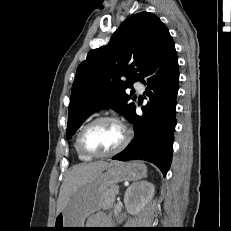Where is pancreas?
Segmentation results:
<instances>
[{"label":"pancreas","instance_id":"obj_1","mask_svg":"<svg viewBox=\"0 0 231 231\" xmlns=\"http://www.w3.org/2000/svg\"><path fill=\"white\" fill-rule=\"evenodd\" d=\"M118 192V187L113 186L109 188L106 192V195L104 197L103 205L104 208H111L113 207L114 201H115V194Z\"/></svg>","mask_w":231,"mask_h":231}]
</instances>
